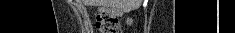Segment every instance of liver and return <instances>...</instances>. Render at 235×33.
<instances>
[{"label":"liver","mask_w":235,"mask_h":33,"mask_svg":"<svg viewBox=\"0 0 235 33\" xmlns=\"http://www.w3.org/2000/svg\"><path fill=\"white\" fill-rule=\"evenodd\" d=\"M85 4L91 6L113 7L123 9L126 12L132 11L139 7V0H85Z\"/></svg>","instance_id":"obj_1"}]
</instances>
